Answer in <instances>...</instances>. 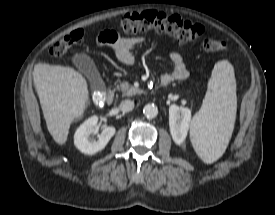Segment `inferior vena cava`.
<instances>
[{
    "instance_id": "602c4592",
    "label": "inferior vena cava",
    "mask_w": 275,
    "mask_h": 215,
    "mask_svg": "<svg viewBox=\"0 0 275 215\" xmlns=\"http://www.w3.org/2000/svg\"><path fill=\"white\" fill-rule=\"evenodd\" d=\"M133 108H134V102L131 100H124L119 105V109L122 112H130L133 110Z\"/></svg>"
}]
</instances>
